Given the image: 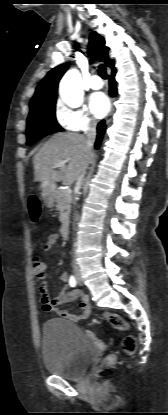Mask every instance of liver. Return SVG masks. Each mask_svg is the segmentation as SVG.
Wrapping results in <instances>:
<instances>
[{
  "mask_svg": "<svg viewBox=\"0 0 168 415\" xmlns=\"http://www.w3.org/2000/svg\"><path fill=\"white\" fill-rule=\"evenodd\" d=\"M94 157L95 154L86 148L84 136L57 133L34 156L35 180L41 183L43 190L60 181L73 184ZM62 160H68V165L56 170L54 164Z\"/></svg>",
  "mask_w": 168,
  "mask_h": 415,
  "instance_id": "6515ba94",
  "label": "liver"
}]
</instances>
